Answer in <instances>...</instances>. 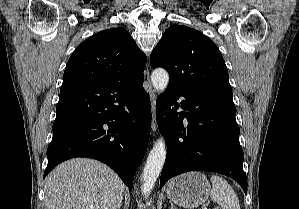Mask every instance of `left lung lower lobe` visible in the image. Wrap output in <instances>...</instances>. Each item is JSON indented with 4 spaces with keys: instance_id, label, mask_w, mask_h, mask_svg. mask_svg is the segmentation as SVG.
Listing matches in <instances>:
<instances>
[{
    "instance_id": "left-lung-lower-lobe-1",
    "label": "left lung lower lobe",
    "mask_w": 299,
    "mask_h": 209,
    "mask_svg": "<svg viewBox=\"0 0 299 209\" xmlns=\"http://www.w3.org/2000/svg\"><path fill=\"white\" fill-rule=\"evenodd\" d=\"M180 97L184 100L177 104ZM235 115L232 91L169 84L156 102L158 127L167 139L160 187L178 174L204 170L233 178L247 194Z\"/></svg>"
}]
</instances>
